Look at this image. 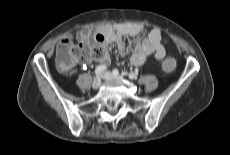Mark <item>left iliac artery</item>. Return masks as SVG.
Returning a JSON list of instances; mask_svg holds the SVG:
<instances>
[{
	"label": "left iliac artery",
	"mask_w": 230,
	"mask_h": 155,
	"mask_svg": "<svg viewBox=\"0 0 230 155\" xmlns=\"http://www.w3.org/2000/svg\"><path fill=\"white\" fill-rule=\"evenodd\" d=\"M113 75L116 76V77H117V76H120L119 70L114 69V70H113Z\"/></svg>",
	"instance_id": "left-iliac-artery-1"
}]
</instances>
